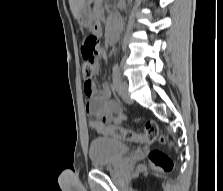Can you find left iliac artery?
<instances>
[{
	"label": "left iliac artery",
	"mask_w": 223,
	"mask_h": 191,
	"mask_svg": "<svg viewBox=\"0 0 223 191\" xmlns=\"http://www.w3.org/2000/svg\"><path fill=\"white\" fill-rule=\"evenodd\" d=\"M120 82H121V76L119 72V67L118 65H115L113 68V84L116 90H118Z\"/></svg>",
	"instance_id": "left-iliac-artery-1"
}]
</instances>
